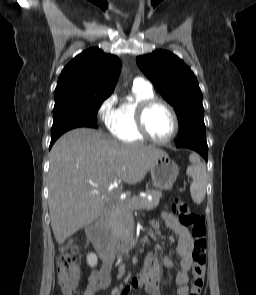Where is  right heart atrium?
<instances>
[{"label": "right heart atrium", "mask_w": 256, "mask_h": 295, "mask_svg": "<svg viewBox=\"0 0 256 295\" xmlns=\"http://www.w3.org/2000/svg\"><path fill=\"white\" fill-rule=\"evenodd\" d=\"M117 99V95L112 94L107 99H105L99 107L98 114L101 117V119L106 123V125L109 124V121L115 112V105L117 103Z\"/></svg>", "instance_id": "1"}]
</instances>
